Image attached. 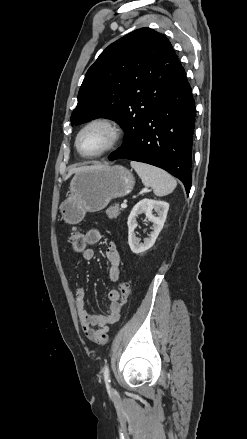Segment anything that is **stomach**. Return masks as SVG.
Instances as JSON below:
<instances>
[{"instance_id": "1", "label": "stomach", "mask_w": 247, "mask_h": 439, "mask_svg": "<svg viewBox=\"0 0 247 439\" xmlns=\"http://www.w3.org/2000/svg\"><path fill=\"white\" fill-rule=\"evenodd\" d=\"M134 184L132 172L121 165L78 173L71 180L69 196L59 206L62 218L69 224H76L86 212L100 211L112 199L129 194Z\"/></svg>"}]
</instances>
